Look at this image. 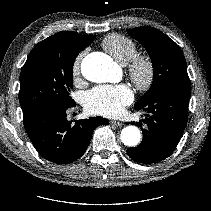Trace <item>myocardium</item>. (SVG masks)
<instances>
[{
  "instance_id": "myocardium-1",
  "label": "myocardium",
  "mask_w": 211,
  "mask_h": 211,
  "mask_svg": "<svg viewBox=\"0 0 211 211\" xmlns=\"http://www.w3.org/2000/svg\"><path fill=\"white\" fill-rule=\"evenodd\" d=\"M126 68L132 82L141 90L149 89L155 80L156 67L153 58L148 54H136Z\"/></svg>"
}]
</instances>
